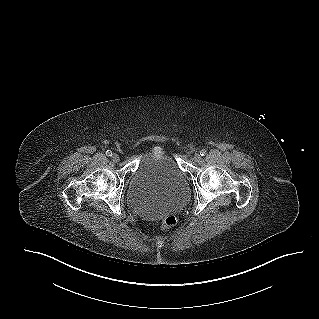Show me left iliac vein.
Returning <instances> with one entry per match:
<instances>
[{
  "label": "left iliac vein",
  "mask_w": 319,
  "mask_h": 319,
  "mask_svg": "<svg viewBox=\"0 0 319 319\" xmlns=\"http://www.w3.org/2000/svg\"><path fill=\"white\" fill-rule=\"evenodd\" d=\"M193 160L195 162H199L201 160V155L199 153L194 154Z\"/></svg>",
  "instance_id": "obj_1"
}]
</instances>
